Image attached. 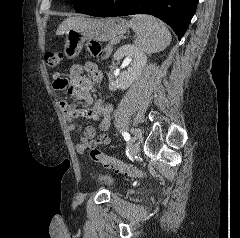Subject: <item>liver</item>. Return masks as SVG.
Instances as JSON below:
<instances>
[{
  "label": "liver",
  "instance_id": "liver-1",
  "mask_svg": "<svg viewBox=\"0 0 240 238\" xmlns=\"http://www.w3.org/2000/svg\"><path fill=\"white\" fill-rule=\"evenodd\" d=\"M85 20L83 17H70L64 20L60 26L58 27L57 34H64L69 29L77 28L81 25V23Z\"/></svg>",
  "mask_w": 240,
  "mask_h": 238
}]
</instances>
